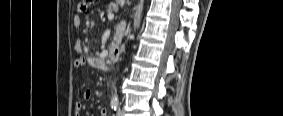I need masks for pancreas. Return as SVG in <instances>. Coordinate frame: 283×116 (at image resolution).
I'll use <instances>...</instances> for the list:
<instances>
[{"mask_svg": "<svg viewBox=\"0 0 283 116\" xmlns=\"http://www.w3.org/2000/svg\"><path fill=\"white\" fill-rule=\"evenodd\" d=\"M118 4L117 3H111L107 8V13L110 14L113 11L117 10Z\"/></svg>", "mask_w": 283, "mask_h": 116, "instance_id": "cf45deb5", "label": "pancreas"}]
</instances>
